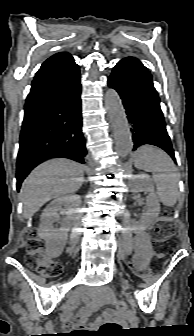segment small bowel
I'll list each match as a JSON object with an SVG mask.
<instances>
[{
	"mask_svg": "<svg viewBox=\"0 0 194 336\" xmlns=\"http://www.w3.org/2000/svg\"><path fill=\"white\" fill-rule=\"evenodd\" d=\"M136 249H137V255L135 258V265L140 269H145L151 257V245L149 242V238L145 232L137 233ZM85 298H86V295L83 292H80L75 296L76 301L84 300ZM96 298L101 302L114 301L112 290L108 287L100 290L99 295ZM106 313L108 315H111L112 311L108 310ZM63 320L67 323L72 322L77 326H82L83 324L82 315H77L75 318H72V316L69 313H66L63 316Z\"/></svg>",
	"mask_w": 194,
	"mask_h": 336,
	"instance_id": "obj_1",
	"label": "small bowel"
}]
</instances>
